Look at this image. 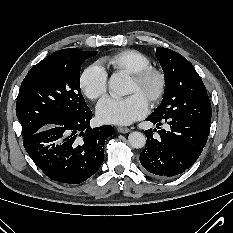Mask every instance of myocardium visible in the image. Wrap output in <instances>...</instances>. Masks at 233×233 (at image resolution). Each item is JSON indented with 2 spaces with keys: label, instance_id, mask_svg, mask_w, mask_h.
Returning <instances> with one entry per match:
<instances>
[{
  "label": "myocardium",
  "instance_id": "1",
  "mask_svg": "<svg viewBox=\"0 0 233 233\" xmlns=\"http://www.w3.org/2000/svg\"><path fill=\"white\" fill-rule=\"evenodd\" d=\"M132 80L138 84L144 83L149 78H154L157 82L155 93L149 99L150 105L159 103L165 95L167 89V77L164 71L156 67H146L131 75Z\"/></svg>",
  "mask_w": 233,
  "mask_h": 233
}]
</instances>
